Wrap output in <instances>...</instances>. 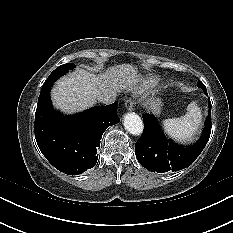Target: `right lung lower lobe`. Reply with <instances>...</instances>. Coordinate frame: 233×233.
Masks as SVG:
<instances>
[{"label":"right lung lower lobe","instance_id":"98d812e1","mask_svg":"<svg viewBox=\"0 0 233 233\" xmlns=\"http://www.w3.org/2000/svg\"><path fill=\"white\" fill-rule=\"evenodd\" d=\"M48 81L43 89L48 88ZM41 93L46 92L41 90ZM49 94L47 91L46 95ZM117 105L118 102H114L63 116L52 109L49 97L47 104L35 114L34 131L40 151L56 169L68 175H78L94 167L103 132L120 121Z\"/></svg>","mask_w":233,"mask_h":233}]
</instances>
